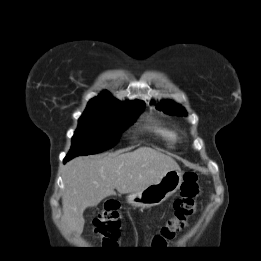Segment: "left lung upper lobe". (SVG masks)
Masks as SVG:
<instances>
[{"label": "left lung upper lobe", "mask_w": 261, "mask_h": 261, "mask_svg": "<svg viewBox=\"0 0 261 261\" xmlns=\"http://www.w3.org/2000/svg\"><path fill=\"white\" fill-rule=\"evenodd\" d=\"M159 108H162L165 113L177 116H186V112L183 108H181L178 104L165 100L159 105Z\"/></svg>", "instance_id": "left-lung-upper-lobe-1"}]
</instances>
